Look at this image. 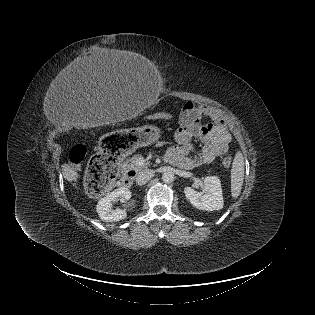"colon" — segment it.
Here are the masks:
<instances>
[{"mask_svg": "<svg viewBox=\"0 0 315 315\" xmlns=\"http://www.w3.org/2000/svg\"><path fill=\"white\" fill-rule=\"evenodd\" d=\"M170 114L161 113L153 119H168ZM87 153L86 147L76 145L70 152V162L74 166L79 165L85 158ZM224 167L228 168L232 164V158L227 156L222 160ZM118 167L115 158H110L104 153L95 155L87 168L85 175V185L87 191L94 196L103 195L113 184L117 177Z\"/></svg>", "mask_w": 315, "mask_h": 315, "instance_id": "5ec220e1", "label": "colon"}]
</instances>
